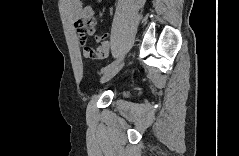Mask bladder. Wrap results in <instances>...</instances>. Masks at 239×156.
I'll list each match as a JSON object with an SVG mask.
<instances>
[{"label": "bladder", "instance_id": "1", "mask_svg": "<svg viewBox=\"0 0 239 156\" xmlns=\"http://www.w3.org/2000/svg\"><path fill=\"white\" fill-rule=\"evenodd\" d=\"M120 95H121V96H126V95H127V91H125V90L121 91V92H120Z\"/></svg>", "mask_w": 239, "mask_h": 156}]
</instances>
